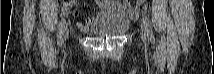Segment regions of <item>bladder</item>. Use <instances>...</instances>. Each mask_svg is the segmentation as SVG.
Segmentation results:
<instances>
[{
    "instance_id": "31cf9c89",
    "label": "bladder",
    "mask_w": 214,
    "mask_h": 74,
    "mask_svg": "<svg viewBox=\"0 0 214 74\" xmlns=\"http://www.w3.org/2000/svg\"><path fill=\"white\" fill-rule=\"evenodd\" d=\"M128 27L129 20L121 8H114L100 13L92 24L90 32L97 36H119L125 33Z\"/></svg>"
}]
</instances>
